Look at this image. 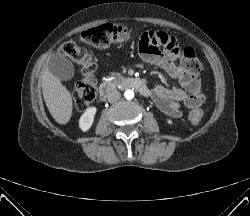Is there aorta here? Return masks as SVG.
<instances>
[{"mask_svg":"<svg viewBox=\"0 0 250 216\" xmlns=\"http://www.w3.org/2000/svg\"><path fill=\"white\" fill-rule=\"evenodd\" d=\"M124 96L126 99L131 100L134 97V92L132 90H126Z\"/></svg>","mask_w":250,"mask_h":216,"instance_id":"obj_1","label":"aorta"}]
</instances>
